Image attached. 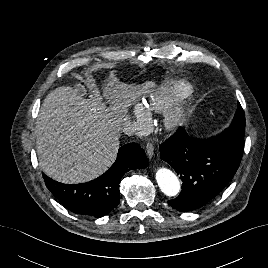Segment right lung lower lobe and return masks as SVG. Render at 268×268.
<instances>
[{"instance_id": "98d812e1", "label": "right lung lower lobe", "mask_w": 268, "mask_h": 268, "mask_svg": "<svg viewBox=\"0 0 268 268\" xmlns=\"http://www.w3.org/2000/svg\"><path fill=\"white\" fill-rule=\"evenodd\" d=\"M148 166L145 152L137 143L122 146L111 168L100 177L82 184H63L43 174L47 188L58 201L76 214L102 216L119 204V183L132 169Z\"/></svg>"}]
</instances>
